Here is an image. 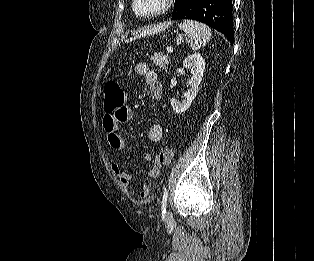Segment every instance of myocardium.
Segmentation results:
<instances>
[{"instance_id":"myocardium-1","label":"myocardium","mask_w":314,"mask_h":261,"mask_svg":"<svg viewBox=\"0 0 314 261\" xmlns=\"http://www.w3.org/2000/svg\"><path fill=\"white\" fill-rule=\"evenodd\" d=\"M174 1L175 0H164L162 7L159 8L158 10L153 11L151 13H141L138 11L136 6L137 0H132V9L133 12L141 18H153L166 13L173 6Z\"/></svg>"}]
</instances>
